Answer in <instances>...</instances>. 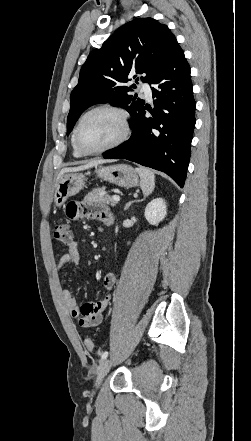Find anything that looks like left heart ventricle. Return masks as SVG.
<instances>
[{"label":"left heart ventricle","instance_id":"left-heart-ventricle-1","mask_svg":"<svg viewBox=\"0 0 251 441\" xmlns=\"http://www.w3.org/2000/svg\"><path fill=\"white\" fill-rule=\"evenodd\" d=\"M121 131V122L115 113L97 111L84 120L79 132L80 144L86 150H96L113 142Z\"/></svg>","mask_w":251,"mask_h":441}]
</instances>
